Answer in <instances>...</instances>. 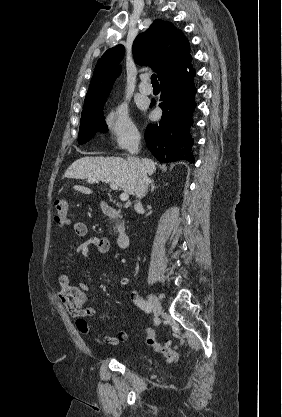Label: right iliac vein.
I'll list each match as a JSON object with an SVG mask.
<instances>
[{
    "mask_svg": "<svg viewBox=\"0 0 282 417\" xmlns=\"http://www.w3.org/2000/svg\"><path fill=\"white\" fill-rule=\"evenodd\" d=\"M148 301L150 302V304L152 306L154 314L158 315L162 310V306H161V303H160L158 297L154 294H150V295H148Z\"/></svg>",
    "mask_w": 282,
    "mask_h": 417,
    "instance_id": "obj_1",
    "label": "right iliac vein"
}]
</instances>
